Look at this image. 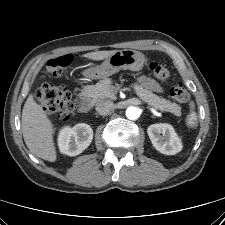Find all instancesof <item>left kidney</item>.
<instances>
[{
	"instance_id": "obj_1",
	"label": "left kidney",
	"mask_w": 225,
	"mask_h": 225,
	"mask_svg": "<svg viewBox=\"0 0 225 225\" xmlns=\"http://www.w3.org/2000/svg\"><path fill=\"white\" fill-rule=\"evenodd\" d=\"M147 133L155 149L162 154L175 155L182 149L181 140L169 124L150 125Z\"/></svg>"
}]
</instances>
